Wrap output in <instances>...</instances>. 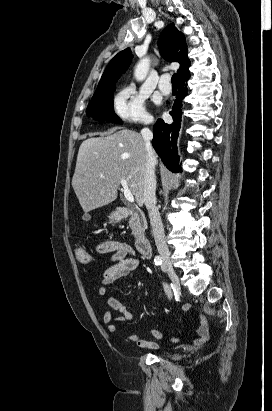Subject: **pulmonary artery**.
I'll return each mask as SVG.
<instances>
[{
	"label": "pulmonary artery",
	"mask_w": 272,
	"mask_h": 411,
	"mask_svg": "<svg viewBox=\"0 0 272 411\" xmlns=\"http://www.w3.org/2000/svg\"><path fill=\"white\" fill-rule=\"evenodd\" d=\"M159 89L163 94H169L171 92V85L169 83V75L163 74L159 81Z\"/></svg>",
	"instance_id": "1"
}]
</instances>
